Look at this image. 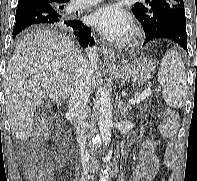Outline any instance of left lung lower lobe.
I'll use <instances>...</instances> for the list:
<instances>
[{
    "mask_svg": "<svg viewBox=\"0 0 197 181\" xmlns=\"http://www.w3.org/2000/svg\"><path fill=\"white\" fill-rule=\"evenodd\" d=\"M158 38L171 39L188 52L185 15H176L163 19L155 32L146 37L144 43Z\"/></svg>",
    "mask_w": 197,
    "mask_h": 181,
    "instance_id": "1",
    "label": "left lung lower lobe"
}]
</instances>
